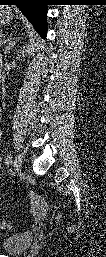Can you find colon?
<instances>
[{
	"mask_svg": "<svg viewBox=\"0 0 106 257\" xmlns=\"http://www.w3.org/2000/svg\"><path fill=\"white\" fill-rule=\"evenodd\" d=\"M57 218H59V216H58ZM1 228H2V229L11 230V229L14 228V225H13L12 223H10V222L2 221V223H1Z\"/></svg>",
	"mask_w": 106,
	"mask_h": 257,
	"instance_id": "1",
	"label": "colon"
}]
</instances>
